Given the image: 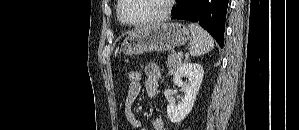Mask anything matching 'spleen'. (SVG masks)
<instances>
[{"mask_svg": "<svg viewBox=\"0 0 299 130\" xmlns=\"http://www.w3.org/2000/svg\"><path fill=\"white\" fill-rule=\"evenodd\" d=\"M192 39L189 48L191 56H201L214 48V40L201 26L194 23L188 25Z\"/></svg>", "mask_w": 299, "mask_h": 130, "instance_id": "obj_1", "label": "spleen"}]
</instances>
